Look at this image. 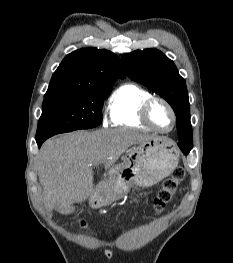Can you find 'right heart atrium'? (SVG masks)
I'll list each match as a JSON object with an SVG mask.
<instances>
[{"label":"right heart atrium","instance_id":"d8ad5b80","mask_svg":"<svg viewBox=\"0 0 233 263\" xmlns=\"http://www.w3.org/2000/svg\"><path fill=\"white\" fill-rule=\"evenodd\" d=\"M106 122H107V118L104 117V119H103V123L106 124Z\"/></svg>","mask_w":233,"mask_h":263}]
</instances>
